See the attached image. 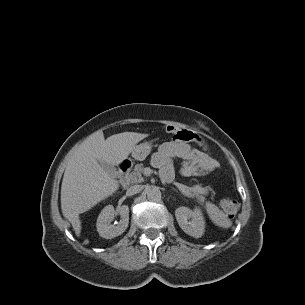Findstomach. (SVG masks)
I'll list each match as a JSON object with an SVG mask.
<instances>
[{
	"mask_svg": "<svg viewBox=\"0 0 305 305\" xmlns=\"http://www.w3.org/2000/svg\"><path fill=\"white\" fill-rule=\"evenodd\" d=\"M152 150V144L150 142H144L136 145L132 151L131 156L138 161H143L150 154Z\"/></svg>",
	"mask_w": 305,
	"mask_h": 305,
	"instance_id": "0dacf381",
	"label": "stomach"
}]
</instances>
